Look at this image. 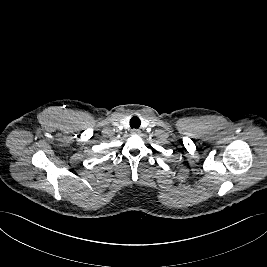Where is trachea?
<instances>
[{
    "mask_svg": "<svg viewBox=\"0 0 267 267\" xmlns=\"http://www.w3.org/2000/svg\"><path fill=\"white\" fill-rule=\"evenodd\" d=\"M141 121L138 117L134 116L130 119V126L131 128H139Z\"/></svg>",
    "mask_w": 267,
    "mask_h": 267,
    "instance_id": "trachea-1",
    "label": "trachea"
}]
</instances>
